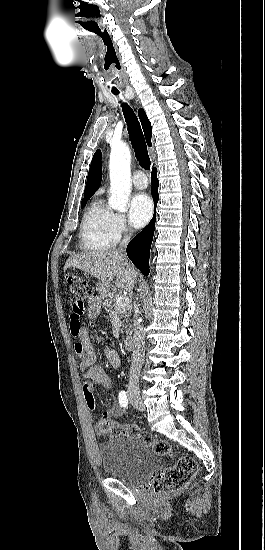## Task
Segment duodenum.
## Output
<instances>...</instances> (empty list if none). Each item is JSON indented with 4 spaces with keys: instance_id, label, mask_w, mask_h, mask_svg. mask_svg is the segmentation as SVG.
Returning a JSON list of instances; mask_svg holds the SVG:
<instances>
[{
    "instance_id": "1",
    "label": "duodenum",
    "mask_w": 265,
    "mask_h": 550,
    "mask_svg": "<svg viewBox=\"0 0 265 550\" xmlns=\"http://www.w3.org/2000/svg\"><path fill=\"white\" fill-rule=\"evenodd\" d=\"M124 346L127 350L132 351L135 348L134 338L132 335H127L124 338Z\"/></svg>"
}]
</instances>
